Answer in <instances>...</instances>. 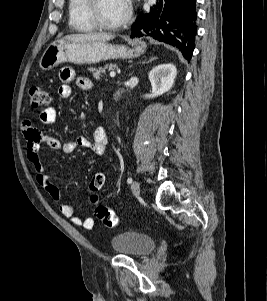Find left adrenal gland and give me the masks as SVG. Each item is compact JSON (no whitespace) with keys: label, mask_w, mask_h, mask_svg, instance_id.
Returning <instances> with one entry per match:
<instances>
[{"label":"left adrenal gland","mask_w":267,"mask_h":301,"mask_svg":"<svg viewBox=\"0 0 267 301\" xmlns=\"http://www.w3.org/2000/svg\"><path fill=\"white\" fill-rule=\"evenodd\" d=\"M157 58L156 57H151L148 61H146V62H142L143 64H145V63H150V62H152V61H154V60H156Z\"/></svg>","instance_id":"a2214340"}]
</instances>
